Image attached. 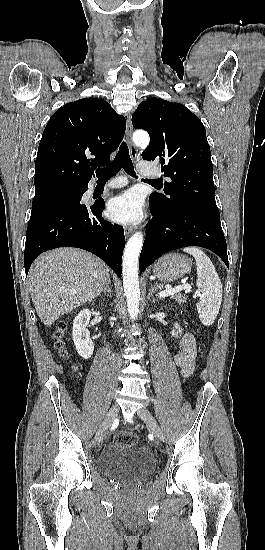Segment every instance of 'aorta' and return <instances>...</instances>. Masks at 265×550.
<instances>
[{
  "label": "aorta",
  "mask_w": 265,
  "mask_h": 550,
  "mask_svg": "<svg viewBox=\"0 0 265 550\" xmlns=\"http://www.w3.org/2000/svg\"><path fill=\"white\" fill-rule=\"evenodd\" d=\"M133 141L137 146L145 148L149 145L150 138L146 132L139 131L134 133ZM143 240L144 238L141 232L134 233L128 240L123 253V287L128 313L132 320H135L139 314L140 288L138 260Z\"/></svg>",
  "instance_id": "1"
}]
</instances>
